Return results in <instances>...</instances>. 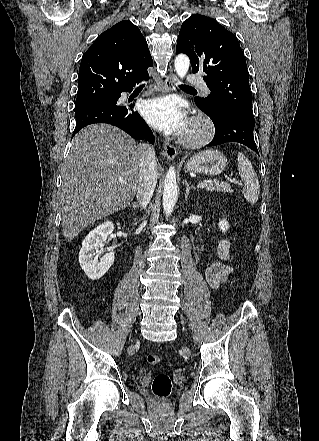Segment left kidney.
I'll return each mask as SVG.
<instances>
[{"label":"left kidney","mask_w":319,"mask_h":441,"mask_svg":"<svg viewBox=\"0 0 319 441\" xmlns=\"http://www.w3.org/2000/svg\"><path fill=\"white\" fill-rule=\"evenodd\" d=\"M218 226L222 232H226L229 229V224L225 219L220 220Z\"/></svg>","instance_id":"1"}]
</instances>
